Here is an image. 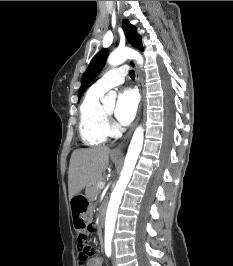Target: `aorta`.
Wrapping results in <instances>:
<instances>
[{"mask_svg":"<svg viewBox=\"0 0 233 266\" xmlns=\"http://www.w3.org/2000/svg\"><path fill=\"white\" fill-rule=\"evenodd\" d=\"M127 59H135L137 63L141 66L143 64V58L141 54L131 48H118L114 50L109 55L107 62L112 66H118L122 64L123 62H125ZM115 99H116V93L113 91H110L105 96V98L102 99V102L104 103L110 100L111 102L114 103ZM143 140H144V129L141 126H139L136 128L132 136V139H131V142H130V145H129V148H128V151L125 157L123 170L111 194V198L108 204L106 218H105V238L106 239H111L114 234L115 222H116L119 204L121 202L125 188L132 176L138 156L143 146Z\"/></svg>","mask_w":233,"mask_h":266,"instance_id":"obj_1","label":"aorta"}]
</instances>
